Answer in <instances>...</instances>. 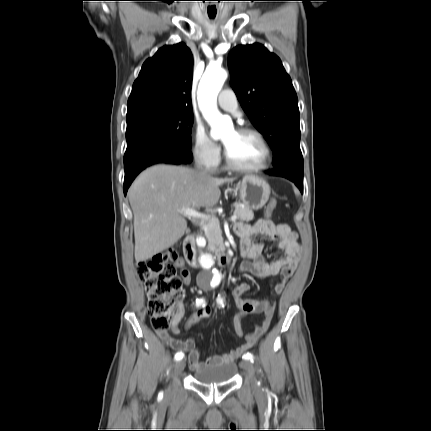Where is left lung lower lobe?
<instances>
[{
    "mask_svg": "<svg viewBox=\"0 0 431 431\" xmlns=\"http://www.w3.org/2000/svg\"><path fill=\"white\" fill-rule=\"evenodd\" d=\"M266 173L273 176L285 177L293 181L303 193V164L287 161L273 170L266 171Z\"/></svg>",
    "mask_w": 431,
    "mask_h": 431,
    "instance_id": "0a47b994",
    "label": "left lung lower lobe"
}]
</instances>
